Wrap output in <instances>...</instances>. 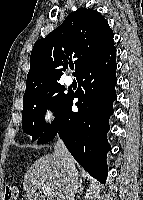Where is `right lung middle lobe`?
<instances>
[{
	"label": "right lung middle lobe",
	"instance_id": "right-lung-middle-lobe-1",
	"mask_svg": "<svg viewBox=\"0 0 143 200\" xmlns=\"http://www.w3.org/2000/svg\"><path fill=\"white\" fill-rule=\"evenodd\" d=\"M68 96L60 83L48 84L24 94L22 129L32 136V141L38 139L47 127L44 122L46 110L51 109L56 114Z\"/></svg>",
	"mask_w": 143,
	"mask_h": 200
}]
</instances>
